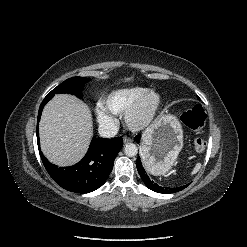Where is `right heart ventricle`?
<instances>
[{
	"mask_svg": "<svg viewBox=\"0 0 247 247\" xmlns=\"http://www.w3.org/2000/svg\"><path fill=\"white\" fill-rule=\"evenodd\" d=\"M148 90V88L144 87H129L115 90L102 100V106L111 114H122L138 97Z\"/></svg>",
	"mask_w": 247,
	"mask_h": 247,
	"instance_id": "1",
	"label": "right heart ventricle"
}]
</instances>
